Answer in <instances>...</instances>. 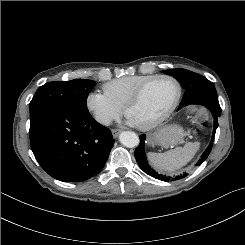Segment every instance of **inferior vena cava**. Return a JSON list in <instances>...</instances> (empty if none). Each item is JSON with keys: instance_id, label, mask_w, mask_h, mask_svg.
<instances>
[{"instance_id": "obj_1", "label": "inferior vena cava", "mask_w": 245, "mask_h": 245, "mask_svg": "<svg viewBox=\"0 0 245 245\" xmlns=\"http://www.w3.org/2000/svg\"><path fill=\"white\" fill-rule=\"evenodd\" d=\"M102 123H103L104 125H110L111 119H110V118H106V119L102 120Z\"/></svg>"}]
</instances>
